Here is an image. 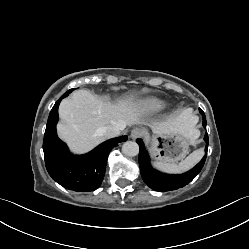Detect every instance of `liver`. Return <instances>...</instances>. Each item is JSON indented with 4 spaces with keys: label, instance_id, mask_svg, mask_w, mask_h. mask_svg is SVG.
I'll use <instances>...</instances> for the list:
<instances>
[{
    "label": "liver",
    "instance_id": "1",
    "mask_svg": "<svg viewBox=\"0 0 249 249\" xmlns=\"http://www.w3.org/2000/svg\"><path fill=\"white\" fill-rule=\"evenodd\" d=\"M61 122L57 125L58 136L64 140L75 153H85L105 140L101 129L110 125L124 123L131 126L146 123L143 119V108L136 99L135 92L126 98L112 103L103 100L87 90H76L70 98L64 99L59 106ZM197 116L187 109L172 114L165 120L148 124L156 133L180 131L196 140L200 132L194 127Z\"/></svg>",
    "mask_w": 249,
    "mask_h": 249
}]
</instances>
